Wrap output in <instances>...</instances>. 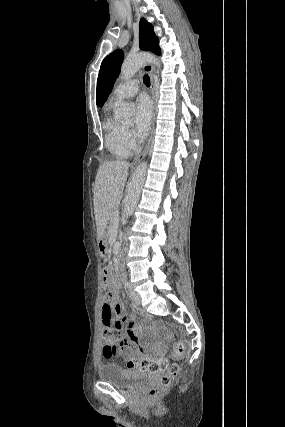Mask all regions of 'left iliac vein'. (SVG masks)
<instances>
[{"instance_id":"1","label":"left iliac vein","mask_w":285,"mask_h":427,"mask_svg":"<svg viewBox=\"0 0 285 427\" xmlns=\"http://www.w3.org/2000/svg\"><path fill=\"white\" fill-rule=\"evenodd\" d=\"M129 295H130V298H131V301H132L133 305L140 306V304H141V297L138 294V292H136L133 289H129Z\"/></svg>"}]
</instances>
